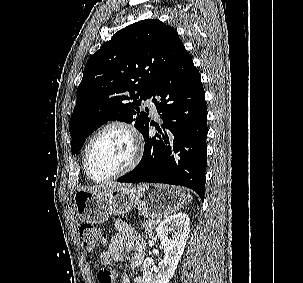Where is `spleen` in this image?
Listing matches in <instances>:
<instances>
[{
	"instance_id": "obj_1",
	"label": "spleen",
	"mask_w": 303,
	"mask_h": 283,
	"mask_svg": "<svg viewBox=\"0 0 303 283\" xmlns=\"http://www.w3.org/2000/svg\"><path fill=\"white\" fill-rule=\"evenodd\" d=\"M187 198H188V202L192 201V196L190 194L187 195Z\"/></svg>"
}]
</instances>
